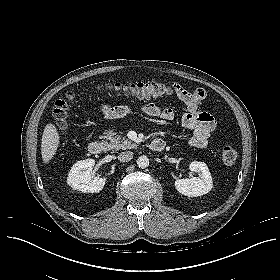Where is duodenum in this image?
<instances>
[{"label": "duodenum", "instance_id": "obj_1", "mask_svg": "<svg viewBox=\"0 0 280 280\" xmlns=\"http://www.w3.org/2000/svg\"><path fill=\"white\" fill-rule=\"evenodd\" d=\"M165 148V142L160 139H154L150 144V149L152 151H162ZM105 144L102 141H92L88 145V151L93 155H101L104 153Z\"/></svg>", "mask_w": 280, "mask_h": 280}]
</instances>
